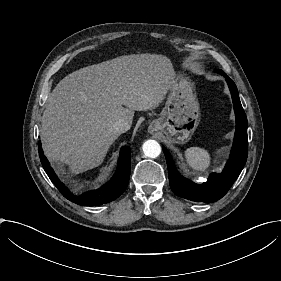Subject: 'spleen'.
<instances>
[{
	"mask_svg": "<svg viewBox=\"0 0 281 281\" xmlns=\"http://www.w3.org/2000/svg\"><path fill=\"white\" fill-rule=\"evenodd\" d=\"M184 158L187 166L198 173L206 172L212 162L209 150L202 147H189L184 150Z\"/></svg>",
	"mask_w": 281,
	"mask_h": 281,
	"instance_id": "spleen-1",
	"label": "spleen"
}]
</instances>
